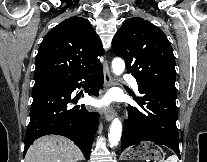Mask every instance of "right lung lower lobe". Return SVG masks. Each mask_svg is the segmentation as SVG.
Returning <instances> with one entry per match:
<instances>
[{
    "label": "right lung lower lobe",
    "mask_w": 207,
    "mask_h": 162,
    "mask_svg": "<svg viewBox=\"0 0 207 162\" xmlns=\"http://www.w3.org/2000/svg\"><path fill=\"white\" fill-rule=\"evenodd\" d=\"M82 80H85L83 83L88 85L86 92L97 96L103 85L102 66L33 88V103L30 110V123L25 135L24 154L37 138L57 134L74 141L85 158L90 159L99 114L87 111L84 105H75L76 98H71V93L84 85Z\"/></svg>",
    "instance_id": "right-lung-lower-lobe-1"
}]
</instances>
